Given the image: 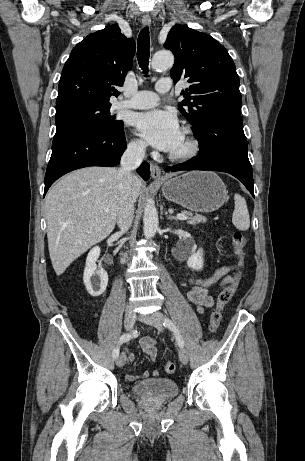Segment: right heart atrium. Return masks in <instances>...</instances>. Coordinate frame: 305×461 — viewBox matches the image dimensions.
I'll return each instance as SVG.
<instances>
[{
  "label": "right heart atrium",
  "mask_w": 305,
  "mask_h": 461,
  "mask_svg": "<svg viewBox=\"0 0 305 461\" xmlns=\"http://www.w3.org/2000/svg\"><path fill=\"white\" fill-rule=\"evenodd\" d=\"M129 150L134 154H141L144 152L145 144L143 141L138 139H133L129 143Z\"/></svg>",
  "instance_id": "right-heart-atrium-1"
}]
</instances>
